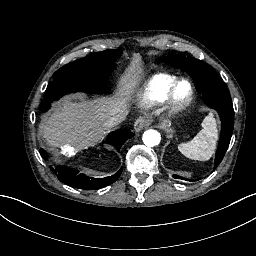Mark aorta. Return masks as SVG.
<instances>
[{"label": "aorta", "mask_w": 256, "mask_h": 256, "mask_svg": "<svg viewBox=\"0 0 256 256\" xmlns=\"http://www.w3.org/2000/svg\"><path fill=\"white\" fill-rule=\"evenodd\" d=\"M142 140L146 146L154 147L159 145L161 141V135L157 130L149 129L144 132Z\"/></svg>", "instance_id": "762f6f07"}]
</instances>
